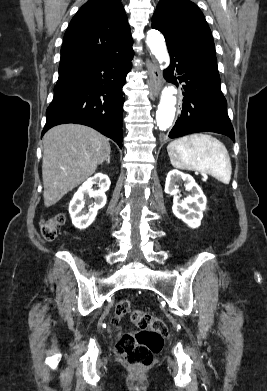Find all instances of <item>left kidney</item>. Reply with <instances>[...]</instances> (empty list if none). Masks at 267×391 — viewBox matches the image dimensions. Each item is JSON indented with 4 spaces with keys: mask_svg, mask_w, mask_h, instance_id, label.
Masks as SVG:
<instances>
[{
    "mask_svg": "<svg viewBox=\"0 0 267 391\" xmlns=\"http://www.w3.org/2000/svg\"><path fill=\"white\" fill-rule=\"evenodd\" d=\"M181 179L185 183L186 190L191 192V195L184 199L178 196L179 189L176 185V182ZM165 192L173 195L172 211L174 215L191 228L199 227L203 217V211L206 208L207 199L192 176L178 170H171L167 174Z\"/></svg>",
    "mask_w": 267,
    "mask_h": 391,
    "instance_id": "left-kidney-1",
    "label": "left kidney"
}]
</instances>
